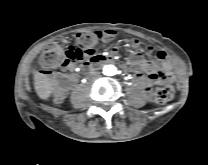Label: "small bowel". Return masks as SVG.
Returning a JSON list of instances; mask_svg holds the SVG:
<instances>
[{
    "label": "small bowel",
    "mask_w": 208,
    "mask_h": 165,
    "mask_svg": "<svg viewBox=\"0 0 208 165\" xmlns=\"http://www.w3.org/2000/svg\"><path fill=\"white\" fill-rule=\"evenodd\" d=\"M110 31V30H106ZM115 34V32L110 31ZM122 43L117 44L116 47H120ZM112 58L105 54L93 55L92 57L83 58L80 60L82 67H92L96 64L109 62ZM120 67L124 71L133 72L137 78V81L141 88L147 95L151 94V87L153 84H169L174 81V64L172 60L163 51H159L156 54L155 60H147L142 54L134 52L129 56L127 62H122ZM68 72L75 70L73 63H68L64 68ZM75 81V78L65 79L59 83L62 90L59 92L56 102L63 101L66 89L70 87Z\"/></svg>",
    "instance_id": "c3829d8e"
}]
</instances>
